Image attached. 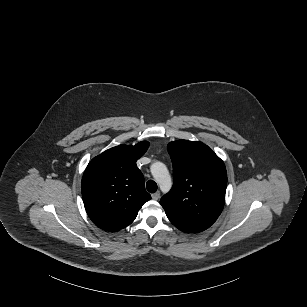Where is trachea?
<instances>
[{"instance_id":"trachea-1","label":"trachea","mask_w":307,"mask_h":307,"mask_svg":"<svg viewBox=\"0 0 307 307\" xmlns=\"http://www.w3.org/2000/svg\"><path fill=\"white\" fill-rule=\"evenodd\" d=\"M146 189L150 192V193H155L157 191V183L153 180H149L146 183Z\"/></svg>"}]
</instances>
